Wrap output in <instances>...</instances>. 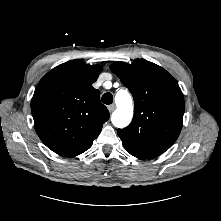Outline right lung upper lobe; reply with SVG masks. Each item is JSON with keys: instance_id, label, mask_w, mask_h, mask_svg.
Wrapping results in <instances>:
<instances>
[{"instance_id": "cb5924a9", "label": "right lung upper lobe", "mask_w": 221, "mask_h": 221, "mask_svg": "<svg viewBox=\"0 0 221 221\" xmlns=\"http://www.w3.org/2000/svg\"><path fill=\"white\" fill-rule=\"evenodd\" d=\"M102 67L81 60L63 63L48 72L31 100L34 127L42 142L64 157L89 149L109 119L92 84Z\"/></svg>"}]
</instances>
